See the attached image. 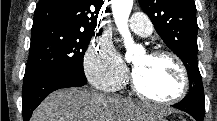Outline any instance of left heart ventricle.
<instances>
[{
  "instance_id": "b2bd125f",
  "label": "left heart ventricle",
  "mask_w": 217,
  "mask_h": 121,
  "mask_svg": "<svg viewBox=\"0 0 217 121\" xmlns=\"http://www.w3.org/2000/svg\"><path fill=\"white\" fill-rule=\"evenodd\" d=\"M131 65L139 86L147 94L166 99L178 91L179 71L169 58H152L140 54L133 58Z\"/></svg>"
}]
</instances>
